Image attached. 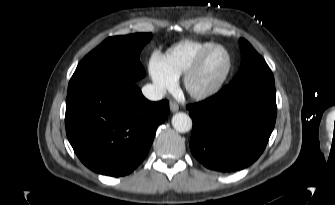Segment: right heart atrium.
<instances>
[{
    "label": "right heart atrium",
    "mask_w": 335,
    "mask_h": 205,
    "mask_svg": "<svg viewBox=\"0 0 335 205\" xmlns=\"http://www.w3.org/2000/svg\"><path fill=\"white\" fill-rule=\"evenodd\" d=\"M148 72L158 92L170 90L176 83V78L165 66L164 57L157 52L153 53L149 60Z\"/></svg>",
    "instance_id": "right-heart-atrium-1"
}]
</instances>
